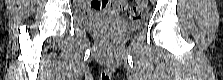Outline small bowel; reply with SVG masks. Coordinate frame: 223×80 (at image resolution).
<instances>
[{"mask_svg":"<svg viewBox=\"0 0 223 80\" xmlns=\"http://www.w3.org/2000/svg\"><path fill=\"white\" fill-rule=\"evenodd\" d=\"M123 5L120 1L94 2L90 6L82 5L81 10L88 14L109 13L117 14Z\"/></svg>","mask_w":223,"mask_h":80,"instance_id":"c3829d8e","label":"small bowel"}]
</instances>
